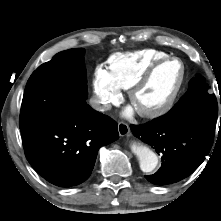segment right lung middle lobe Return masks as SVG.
<instances>
[{
	"instance_id": "right-lung-middle-lobe-1",
	"label": "right lung middle lobe",
	"mask_w": 221,
	"mask_h": 221,
	"mask_svg": "<svg viewBox=\"0 0 221 221\" xmlns=\"http://www.w3.org/2000/svg\"><path fill=\"white\" fill-rule=\"evenodd\" d=\"M83 55V48L59 52L33 72L22 100L21 132L52 123L87 98Z\"/></svg>"
}]
</instances>
